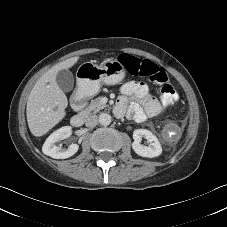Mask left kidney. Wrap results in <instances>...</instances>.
Wrapping results in <instances>:
<instances>
[{"label": "left kidney", "instance_id": "1", "mask_svg": "<svg viewBox=\"0 0 227 227\" xmlns=\"http://www.w3.org/2000/svg\"><path fill=\"white\" fill-rule=\"evenodd\" d=\"M143 137L147 139L149 146L141 144ZM133 139L132 148L139 156L153 158L159 156L162 152V147L158 138L147 129H136L133 132Z\"/></svg>", "mask_w": 227, "mask_h": 227}]
</instances>
